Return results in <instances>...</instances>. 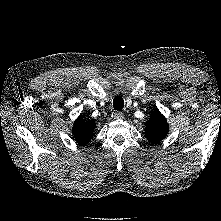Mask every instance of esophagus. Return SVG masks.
<instances>
[{
    "mask_svg": "<svg viewBox=\"0 0 221 221\" xmlns=\"http://www.w3.org/2000/svg\"><path fill=\"white\" fill-rule=\"evenodd\" d=\"M114 119L116 120L124 119V114L121 111H116L114 113Z\"/></svg>",
    "mask_w": 221,
    "mask_h": 221,
    "instance_id": "esophagus-1",
    "label": "esophagus"
}]
</instances>
